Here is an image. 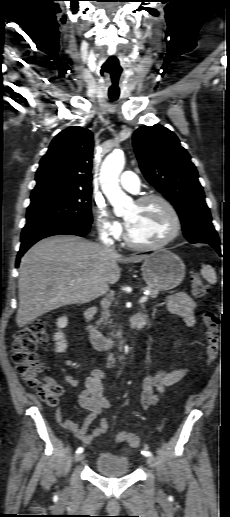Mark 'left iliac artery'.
<instances>
[{
    "instance_id": "left-iliac-artery-1",
    "label": "left iliac artery",
    "mask_w": 230,
    "mask_h": 517,
    "mask_svg": "<svg viewBox=\"0 0 230 517\" xmlns=\"http://www.w3.org/2000/svg\"><path fill=\"white\" fill-rule=\"evenodd\" d=\"M141 453H142L144 456H146V457L152 456V453H151L150 451H145V450H144V451H142Z\"/></svg>"
}]
</instances>
